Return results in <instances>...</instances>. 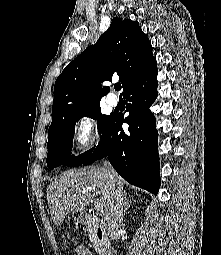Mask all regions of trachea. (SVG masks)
<instances>
[{"label":"trachea","instance_id":"obj_1","mask_svg":"<svg viewBox=\"0 0 221 255\" xmlns=\"http://www.w3.org/2000/svg\"><path fill=\"white\" fill-rule=\"evenodd\" d=\"M114 88H115L116 91H120L121 90V84L120 83L115 84Z\"/></svg>","mask_w":221,"mask_h":255}]
</instances>
